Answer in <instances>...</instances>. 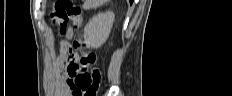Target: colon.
I'll use <instances>...</instances> for the list:
<instances>
[{
  "label": "colon",
  "mask_w": 232,
  "mask_h": 96,
  "mask_svg": "<svg viewBox=\"0 0 232 96\" xmlns=\"http://www.w3.org/2000/svg\"><path fill=\"white\" fill-rule=\"evenodd\" d=\"M51 18L62 35L67 34L69 24L75 29L82 25L81 9L72 0H54ZM68 58L67 72L75 75L74 96H95L101 83L96 53L87 50L85 42L78 38L68 47Z\"/></svg>",
  "instance_id": "colon-1"
}]
</instances>
